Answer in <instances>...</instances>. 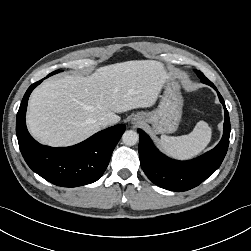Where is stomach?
<instances>
[{
    "mask_svg": "<svg viewBox=\"0 0 251 251\" xmlns=\"http://www.w3.org/2000/svg\"><path fill=\"white\" fill-rule=\"evenodd\" d=\"M182 108L181 86L175 77L170 76L165 83L164 94L161 96L157 109L138 114L152 125L154 134L173 133L181 121Z\"/></svg>",
    "mask_w": 251,
    "mask_h": 251,
    "instance_id": "obj_1",
    "label": "stomach"
}]
</instances>
